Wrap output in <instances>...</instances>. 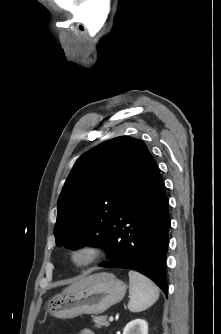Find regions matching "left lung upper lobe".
<instances>
[{"label":"left lung upper lobe","instance_id":"1","mask_svg":"<svg viewBox=\"0 0 221 334\" xmlns=\"http://www.w3.org/2000/svg\"><path fill=\"white\" fill-rule=\"evenodd\" d=\"M153 162L145 143L128 136L109 139L83 154L58 199L56 244L107 248L125 198Z\"/></svg>","mask_w":221,"mask_h":334}]
</instances>
